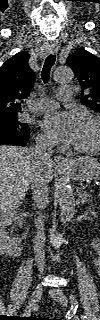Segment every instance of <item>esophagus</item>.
<instances>
[{
    "label": "esophagus",
    "instance_id": "esophagus-1",
    "mask_svg": "<svg viewBox=\"0 0 100 320\" xmlns=\"http://www.w3.org/2000/svg\"><path fill=\"white\" fill-rule=\"evenodd\" d=\"M58 49H59V46L57 44H53L50 46L49 52L54 54L58 52ZM54 164L56 168L66 169L70 164V160L62 156H55Z\"/></svg>",
    "mask_w": 100,
    "mask_h": 320
}]
</instances>
